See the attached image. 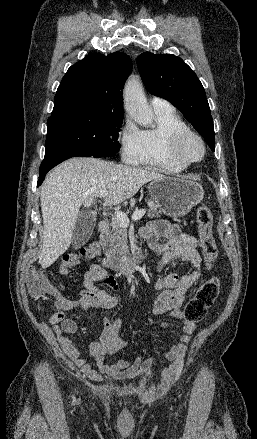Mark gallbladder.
<instances>
[{"mask_svg":"<svg viewBox=\"0 0 257 439\" xmlns=\"http://www.w3.org/2000/svg\"><path fill=\"white\" fill-rule=\"evenodd\" d=\"M96 223V218L94 214L90 211H81L78 214L75 228L73 231L72 246L77 249L84 245L90 238L94 226Z\"/></svg>","mask_w":257,"mask_h":439,"instance_id":"gallbladder-1","label":"gallbladder"}]
</instances>
